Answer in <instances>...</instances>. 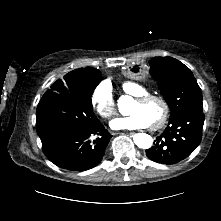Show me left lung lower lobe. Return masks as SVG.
Wrapping results in <instances>:
<instances>
[{
    "label": "left lung lower lobe",
    "mask_w": 221,
    "mask_h": 221,
    "mask_svg": "<svg viewBox=\"0 0 221 221\" xmlns=\"http://www.w3.org/2000/svg\"><path fill=\"white\" fill-rule=\"evenodd\" d=\"M204 120L203 109L186 111L179 117L170 119L165 131L156 138L154 146L146 150L147 157L166 165L187 158L201 142ZM172 141L176 150L172 157H168L164 155V148L170 146Z\"/></svg>",
    "instance_id": "obj_1"
}]
</instances>
